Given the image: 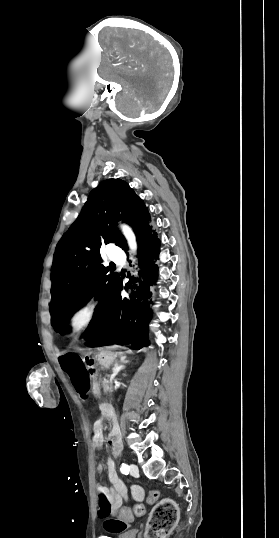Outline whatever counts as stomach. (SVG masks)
<instances>
[{"mask_svg":"<svg viewBox=\"0 0 279 538\" xmlns=\"http://www.w3.org/2000/svg\"><path fill=\"white\" fill-rule=\"evenodd\" d=\"M118 358H124L123 352H104V353H98L97 355V362L102 366V368H110L112 364H117ZM102 389V386L94 385L92 387L93 393L95 395H98L100 393V390Z\"/></svg>","mask_w":279,"mask_h":538,"instance_id":"obj_1","label":"stomach"}]
</instances>
